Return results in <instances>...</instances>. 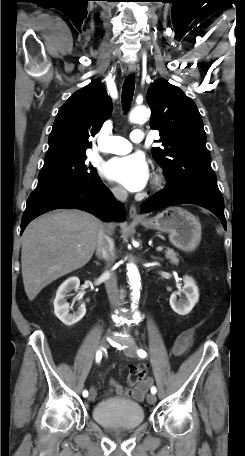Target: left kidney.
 Instances as JSON below:
<instances>
[{
  "label": "left kidney",
  "instance_id": "1",
  "mask_svg": "<svg viewBox=\"0 0 245 456\" xmlns=\"http://www.w3.org/2000/svg\"><path fill=\"white\" fill-rule=\"evenodd\" d=\"M183 282V288L172 293L169 300L171 308L179 315L189 314L199 299V291L195 281L191 277L185 276ZM181 293L185 297L177 300V295H181Z\"/></svg>",
  "mask_w": 245,
  "mask_h": 456
}]
</instances>
